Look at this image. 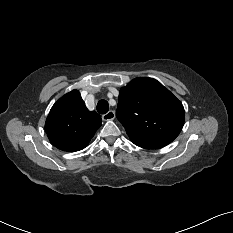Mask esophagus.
<instances>
[{"instance_id":"obj_1","label":"esophagus","mask_w":233,"mask_h":233,"mask_svg":"<svg viewBox=\"0 0 233 233\" xmlns=\"http://www.w3.org/2000/svg\"><path fill=\"white\" fill-rule=\"evenodd\" d=\"M114 118H115V113H114V111H112V110L108 111L106 114H104V115L102 116V119H103L104 121H111V120H113Z\"/></svg>"}]
</instances>
